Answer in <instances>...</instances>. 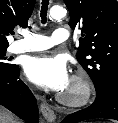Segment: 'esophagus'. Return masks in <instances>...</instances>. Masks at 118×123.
<instances>
[{
	"label": "esophagus",
	"mask_w": 118,
	"mask_h": 123,
	"mask_svg": "<svg viewBox=\"0 0 118 123\" xmlns=\"http://www.w3.org/2000/svg\"><path fill=\"white\" fill-rule=\"evenodd\" d=\"M41 112L43 116L49 121L53 122L56 118L54 111L50 108V106L43 101L40 105Z\"/></svg>",
	"instance_id": "1"
}]
</instances>
